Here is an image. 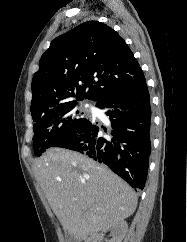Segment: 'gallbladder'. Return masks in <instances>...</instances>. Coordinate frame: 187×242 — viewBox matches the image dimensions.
<instances>
[{"instance_id":"obj_1","label":"gallbladder","mask_w":187,"mask_h":242,"mask_svg":"<svg viewBox=\"0 0 187 242\" xmlns=\"http://www.w3.org/2000/svg\"><path fill=\"white\" fill-rule=\"evenodd\" d=\"M66 242H77L73 237H71L70 235L66 236Z\"/></svg>"}]
</instances>
